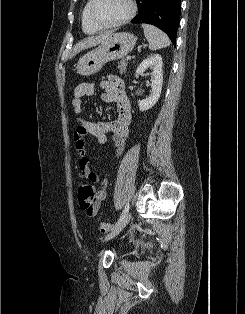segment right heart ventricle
<instances>
[{"mask_svg":"<svg viewBox=\"0 0 245 314\" xmlns=\"http://www.w3.org/2000/svg\"><path fill=\"white\" fill-rule=\"evenodd\" d=\"M90 5L91 0H87L81 15L82 29L86 34H94L100 30V28H98L90 18Z\"/></svg>","mask_w":245,"mask_h":314,"instance_id":"obj_1","label":"right heart ventricle"}]
</instances>
